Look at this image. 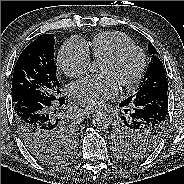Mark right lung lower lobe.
Segmentation results:
<instances>
[{
    "label": "right lung lower lobe",
    "mask_w": 184,
    "mask_h": 184,
    "mask_svg": "<svg viewBox=\"0 0 184 184\" xmlns=\"http://www.w3.org/2000/svg\"><path fill=\"white\" fill-rule=\"evenodd\" d=\"M63 104H65L63 97H57L50 103L35 100H21L13 103L17 130L30 152L54 142L57 139L58 130L68 125L66 119L55 110Z\"/></svg>",
    "instance_id": "obj_1"
}]
</instances>
